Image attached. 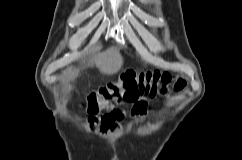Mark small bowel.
I'll return each instance as SVG.
<instances>
[{
    "label": "small bowel",
    "mask_w": 242,
    "mask_h": 160,
    "mask_svg": "<svg viewBox=\"0 0 242 160\" xmlns=\"http://www.w3.org/2000/svg\"><path fill=\"white\" fill-rule=\"evenodd\" d=\"M140 105H145V102L144 101H139L135 104L134 107L136 106H140ZM137 116H141V115H137ZM123 117V112L122 111H119V116L117 119L115 120H107V121H102L101 123V127H102V130L105 131V132H114L117 130V123L118 121Z\"/></svg>",
    "instance_id": "1"
}]
</instances>
